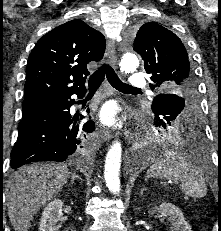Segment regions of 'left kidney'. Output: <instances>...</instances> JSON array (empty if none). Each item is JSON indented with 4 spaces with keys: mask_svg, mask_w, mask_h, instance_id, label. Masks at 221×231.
<instances>
[{
    "mask_svg": "<svg viewBox=\"0 0 221 231\" xmlns=\"http://www.w3.org/2000/svg\"><path fill=\"white\" fill-rule=\"evenodd\" d=\"M155 212H159L163 216L168 217L171 224V231H192L181 210L172 203L164 202L149 211L150 214H154Z\"/></svg>",
    "mask_w": 221,
    "mask_h": 231,
    "instance_id": "5707ae66",
    "label": "left kidney"
}]
</instances>
